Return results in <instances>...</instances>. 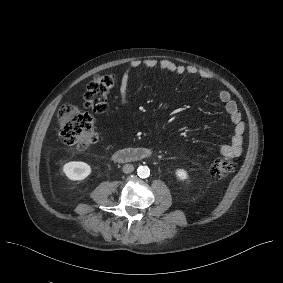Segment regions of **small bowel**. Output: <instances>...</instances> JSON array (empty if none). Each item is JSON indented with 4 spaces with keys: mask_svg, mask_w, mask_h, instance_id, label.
<instances>
[{
    "mask_svg": "<svg viewBox=\"0 0 283 283\" xmlns=\"http://www.w3.org/2000/svg\"><path fill=\"white\" fill-rule=\"evenodd\" d=\"M141 67L149 69L159 67L177 75L189 74L192 76H199L206 80L212 79V75L204 71H199L194 66H184L175 64L174 62L168 59L147 58L143 60H134L128 64L126 70L122 74L120 81L119 96L121 105L124 107L127 105V89L129 85L130 76L134 70ZM218 98L220 102L224 105L225 110L230 117V121L233 128V136L231 138V142L221 145L218 148V152L226 158H236L239 157L243 152V135L245 125L242 121L241 112L236 102L231 98L230 93L227 90H221L218 93Z\"/></svg>",
    "mask_w": 283,
    "mask_h": 283,
    "instance_id": "1",
    "label": "small bowel"
}]
</instances>
